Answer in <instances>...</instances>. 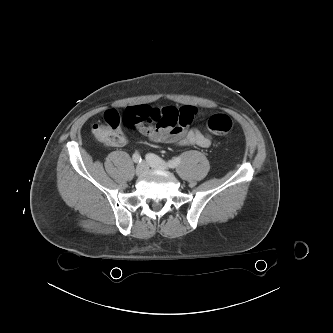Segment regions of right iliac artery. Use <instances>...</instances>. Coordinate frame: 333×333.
<instances>
[{"instance_id": "82829eb1", "label": "right iliac artery", "mask_w": 333, "mask_h": 333, "mask_svg": "<svg viewBox=\"0 0 333 333\" xmlns=\"http://www.w3.org/2000/svg\"><path fill=\"white\" fill-rule=\"evenodd\" d=\"M133 161L136 163H141L142 159L141 156L138 153L133 154Z\"/></svg>"}]
</instances>
